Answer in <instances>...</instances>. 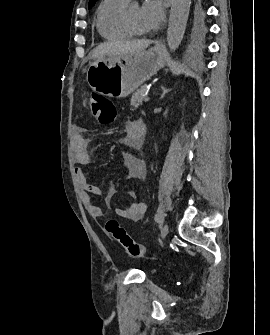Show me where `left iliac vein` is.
I'll use <instances>...</instances> for the list:
<instances>
[{
  "instance_id": "obj_1",
  "label": "left iliac vein",
  "mask_w": 270,
  "mask_h": 335,
  "mask_svg": "<svg viewBox=\"0 0 270 335\" xmlns=\"http://www.w3.org/2000/svg\"><path fill=\"white\" fill-rule=\"evenodd\" d=\"M168 232H169V226H168V224H164L163 227L161 228L160 237L165 238L167 236Z\"/></svg>"
}]
</instances>
